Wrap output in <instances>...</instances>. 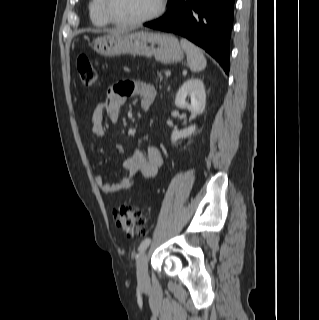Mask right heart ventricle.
I'll list each match as a JSON object with an SVG mask.
<instances>
[{
	"label": "right heart ventricle",
	"mask_w": 319,
	"mask_h": 320,
	"mask_svg": "<svg viewBox=\"0 0 319 320\" xmlns=\"http://www.w3.org/2000/svg\"><path fill=\"white\" fill-rule=\"evenodd\" d=\"M89 13L92 22L97 26H108L111 22L105 17L102 10V0H91Z\"/></svg>",
	"instance_id": "right-heart-ventricle-1"
}]
</instances>
